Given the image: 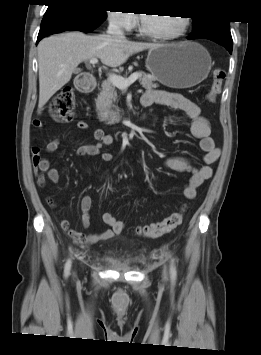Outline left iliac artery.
<instances>
[{
    "mask_svg": "<svg viewBox=\"0 0 261 355\" xmlns=\"http://www.w3.org/2000/svg\"><path fill=\"white\" fill-rule=\"evenodd\" d=\"M170 274H171V280L174 283L177 278V271H176L174 259H171Z\"/></svg>",
    "mask_w": 261,
    "mask_h": 355,
    "instance_id": "44dca946",
    "label": "left iliac artery"
}]
</instances>
